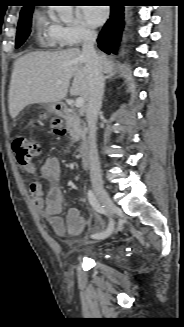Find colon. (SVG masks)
Returning <instances> with one entry per match:
<instances>
[{
  "mask_svg": "<svg viewBox=\"0 0 184 327\" xmlns=\"http://www.w3.org/2000/svg\"><path fill=\"white\" fill-rule=\"evenodd\" d=\"M52 130L57 135H64L65 129L59 119L52 120ZM12 148L18 162L22 166L31 163L32 159L40 154V144L36 139L18 133L13 137Z\"/></svg>",
  "mask_w": 184,
  "mask_h": 327,
  "instance_id": "1",
  "label": "colon"
}]
</instances>
